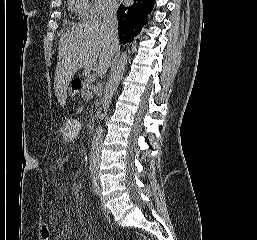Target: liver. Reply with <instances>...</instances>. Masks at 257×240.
Segmentation results:
<instances>
[{
    "label": "liver",
    "mask_w": 257,
    "mask_h": 240,
    "mask_svg": "<svg viewBox=\"0 0 257 240\" xmlns=\"http://www.w3.org/2000/svg\"><path fill=\"white\" fill-rule=\"evenodd\" d=\"M118 50L119 44L111 40L100 21H86L62 35L54 78L60 105L66 103L68 85L78 69L94 68L96 74L105 75Z\"/></svg>",
    "instance_id": "1"
}]
</instances>
